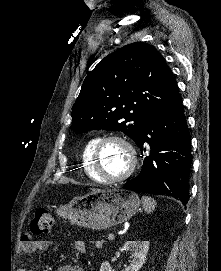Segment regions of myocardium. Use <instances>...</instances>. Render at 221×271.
I'll use <instances>...</instances> for the list:
<instances>
[{"label": "myocardium", "mask_w": 221, "mask_h": 271, "mask_svg": "<svg viewBox=\"0 0 221 271\" xmlns=\"http://www.w3.org/2000/svg\"><path fill=\"white\" fill-rule=\"evenodd\" d=\"M107 137L95 138L98 142L95 145H91L94 150H92L90 156L92 161V167H94V174L100 175V177H106V172H103V166L101 165L100 150H105L107 145H118V150H124L123 161L127 165V171L118 176H112L103 178V183L100 184H115L124 183V178H128L134 170L138 167L137 162V150H134V145H130L128 140H130L126 135L119 132H109L106 133Z\"/></svg>", "instance_id": "f54148a6"}]
</instances>
